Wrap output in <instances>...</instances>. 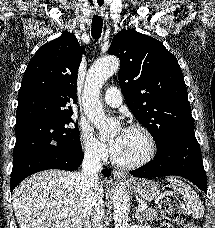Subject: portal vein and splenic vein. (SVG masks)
<instances>
[{
  "label": "portal vein and splenic vein",
  "mask_w": 215,
  "mask_h": 228,
  "mask_svg": "<svg viewBox=\"0 0 215 228\" xmlns=\"http://www.w3.org/2000/svg\"><path fill=\"white\" fill-rule=\"evenodd\" d=\"M146 206H139L138 212H145Z\"/></svg>",
  "instance_id": "18ae733b"
}]
</instances>
